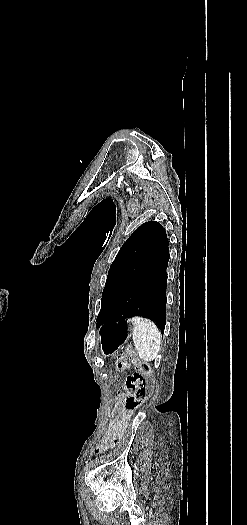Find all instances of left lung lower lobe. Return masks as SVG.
<instances>
[{
  "label": "left lung lower lobe",
  "instance_id": "1",
  "mask_svg": "<svg viewBox=\"0 0 247 525\" xmlns=\"http://www.w3.org/2000/svg\"><path fill=\"white\" fill-rule=\"evenodd\" d=\"M168 244L165 236L147 268L110 308L102 324L142 316L154 321L163 334L166 323Z\"/></svg>",
  "mask_w": 247,
  "mask_h": 525
}]
</instances>
